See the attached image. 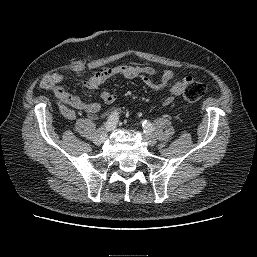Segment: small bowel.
I'll use <instances>...</instances> for the list:
<instances>
[{
    "label": "small bowel",
    "instance_id": "1",
    "mask_svg": "<svg viewBox=\"0 0 257 257\" xmlns=\"http://www.w3.org/2000/svg\"><path fill=\"white\" fill-rule=\"evenodd\" d=\"M159 75V71L155 68L148 65H119L112 68H106L103 72L96 74L90 80L84 82V86L88 89H97L107 80L121 76L127 79H139L144 84L149 86L150 88L161 91L168 87L170 83L174 80V73L170 70H166L161 75V80L159 84H155L151 77ZM52 79L56 84L65 83L66 79L61 74H53ZM192 80L191 77L186 76L176 81L171 86V93L173 95H179L182 93L185 84ZM53 93L57 98L60 104V110L64 117L67 119H74L75 112L74 110L82 111L88 114L89 116H94L100 110V103L96 101H84L80 97L75 96L68 91H66L62 86H55L53 88ZM101 100L105 104H112L115 102L117 96L115 93L110 91H103L100 95ZM173 96L166 97L164 99V105L169 106L173 102Z\"/></svg>",
    "mask_w": 257,
    "mask_h": 257
}]
</instances>
